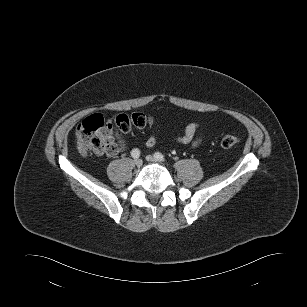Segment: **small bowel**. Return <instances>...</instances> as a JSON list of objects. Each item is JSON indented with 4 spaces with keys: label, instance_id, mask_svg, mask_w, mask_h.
Wrapping results in <instances>:
<instances>
[{
    "label": "small bowel",
    "instance_id": "c3829d8e",
    "mask_svg": "<svg viewBox=\"0 0 307 307\" xmlns=\"http://www.w3.org/2000/svg\"><path fill=\"white\" fill-rule=\"evenodd\" d=\"M199 129V124L196 122L189 123L184 133L176 138V140L179 143L190 145L192 147H196L201 142V138L196 136V132ZM107 139H108V149L106 153L109 156L116 155L121 150H123L126 147V142L124 139H122L113 128H109L107 130ZM155 137L153 135H150L146 140L147 146H153L155 144Z\"/></svg>",
    "mask_w": 307,
    "mask_h": 307
}]
</instances>
